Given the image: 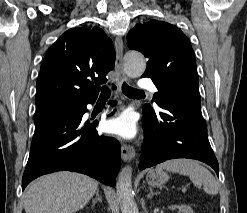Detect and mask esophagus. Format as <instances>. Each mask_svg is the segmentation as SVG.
<instances>
[{"label": "esophagus", "mask_w": 247, "mask_h": 213, "mask_svg": "<svg viewBox=\"0 0 247 213\" xmlns=\"http://www.w3.org/2000/svg\"><path fill=\"white\" fill-rule=\"evenodd\" d=\"M115 51H116V61H115V72H116V84L118 89H121V86L124 81L127 80V77L123 71L122 67V57H123V41L120 37L115 39ZM135 156V149L131 145L122 144L121 146V157L126 161H130Z\"/></svg>", "instance_id": "34e87169"}]
</instances>
